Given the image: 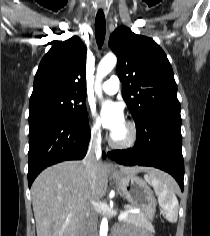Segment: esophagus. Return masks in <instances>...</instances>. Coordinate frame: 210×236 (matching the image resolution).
<instances>
[{
	"mask_svg": "<svg viewBox=\"0 0 210 236\" xmlns=\"http://www.w3.org/2000/svg\"><path fill=\"white\" fill-rule=\"evenodd\" d=\"M99 6H100V8L104 9V3L103 2H100ZM107 166H108L109 169H112V170L116 169V166H115L114 162L111 161V160L108 161Z\"/></svg>",
	"mask_w": 210,
	"mask_h": 236,
	"instance_id": "obj_1",
	"label": "esophagus"
}]
</instances>
